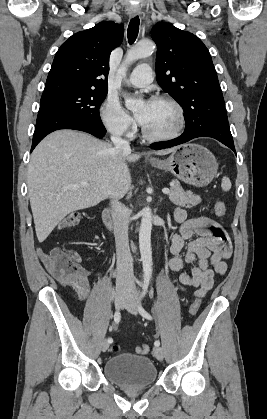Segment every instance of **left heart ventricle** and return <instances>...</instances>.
Instances as JSON below:
<instances>
[{
    "instance_id": "obj_1",
    "label": "left heart ventricle",
    "mask_w": 267,
    "mask_h": 419,
    "mask_svg": "<svg viewBox=\"0 0 267 419\" xmlns=\"http://www.w3.org/2000/svg\"><path fill=\"white\" fill-rule=\"evenodd\" d=\"M140 105L137 112L143 108ZM178 123V116L175 108L167 103L160 101H151L146 117L142 125L152 134H166L171 132Z\"/></svg>"
}]
</instances>
